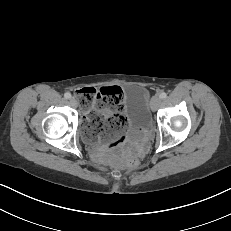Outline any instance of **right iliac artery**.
<instances>
[{
  "label": "right iliac artery",
  "instance_id": "obj_1",
  "mask_svg": "<svg viewBox=\"0 0 231 231\" xmlns=\"http://www.w3.org/2000/svg\"><path fill=\"white\" fill-rule=\"evenodd\" d=\"M64 97L69 100L71 98V94L67 92L64 94Z\"/></svg>",
  "mask_w": 231,
  "mask_h": 231
}]
</instances>
